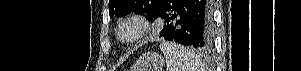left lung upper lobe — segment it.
<instances>
[{
	"mask_svg": "<svg viewBox=\"0 0 301 71\" xmlns=\"http://www.w3.org/2000/svg\"><path fill=\"white\" fill-rule=\"evenodd\" d=\"M163 0H109L110 17H124L138 11L154 17Z\"/></svg>",
	"mask_w": 301,
	"mask_h": 71,
	"instance_id": "5c2ea615",
	"label": "left lung upper lobe"
}]
</instances>
